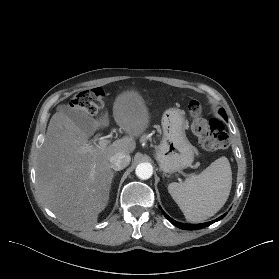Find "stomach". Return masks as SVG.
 <instances>
[{
    "instance_id": "stomach-1",
    "label": "stomach",
    "mask_w": 279,
    "mask_h": 279,
    "mask_svg": "<svg viewBox=\"0 0 279 279\" xmlns=\"http://www.w3.org/2000/svg\"><path fill=\"white\" fill-rule=\"evenodd\" d=\"M163 138L156 148L155 157L164 173H174L189 167L194 159V147L185 130V113L176 108L167 109L161 120Z\"/></svg>"
}]
</instances>
